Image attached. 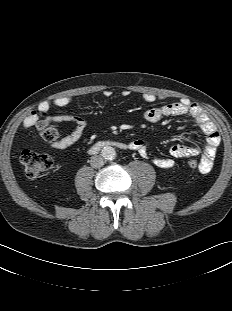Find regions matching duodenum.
<instances>
[{
    "mask_svg": "<svg viewBox=\"0 0 232 311\" xmlns=\"http://www.w3.org/2000/svg\"><path fill=\"white\" fill-rule=\"evenodd\" d=\"M109 147L120 149V150H126L129 148V144L119 142V141H114V140H104L91 146L89 151L91 153H96L103 148H109Z\"/></svg>",
    "mask_w": 232,
    "mask_h": 311,
    "instance_id": "obj_1",
    "label": "duodenum"
}]
</instances>
